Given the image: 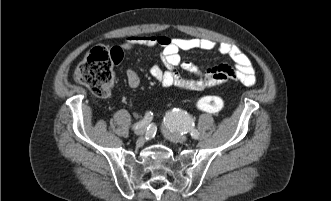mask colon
Instances as JSON below:
<instances>
[{
    "mask_svg": "<svg viewBox=\"0 0 331 201\" xmlns=\"http://www.w3.org/2000/svg\"><path fill=\"white\" fill-rule=\"evenodd\" d=\"M119 52L96 46L93 47L78 64L74 71V80L87 86L99 97L108 96L114 86V64ZM199 110L207 113H219L224 110L225 100L216 95H208L198 99Z\"/></svg>",
    "mask_w": 331,
    "mask_h": 201,
    "instance_id": "colon-1",
    "label": "colon"
}]
</instances>
